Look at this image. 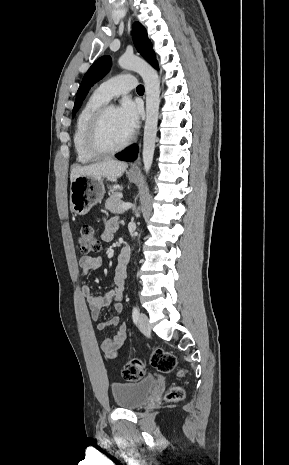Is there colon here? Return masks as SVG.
<instances>
[{"label":"colon","instance_id":"colon-1","mask_svg":"<svg viewBox=\"0 0 289 465\" xmlns=\"http://www.w3.org/2000/svg\"><path fill=\"white\" fill-rule=\"evenodd\" d=\"M80 250L84 253L95 252L100 249V241L98 240L95 230L92 225L84 224L81 227L78 239ZM152 366L161 373H170L177 369V360L173 353L161 348H156L151 355ZM179 376L184 374V370L178 369ZM146 374V365L139 359L134 358L122 365L120 375L127 381H138ZM183 396L180 388H173L168 398L177 400Z\"/></svg>","mask_w":289,"mask_h":465}]
</instances>
